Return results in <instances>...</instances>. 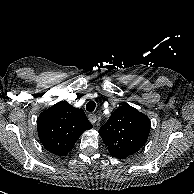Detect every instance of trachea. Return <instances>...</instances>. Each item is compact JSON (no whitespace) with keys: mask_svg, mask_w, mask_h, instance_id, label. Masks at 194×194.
Segmentation results:
<instances>
[{"mask_svg":"<svg viewBox=\"0 0 194 194\" xmlns=\"http://www.w3.org/2000/svg\"><path fill=\"white\" fill-rule=\"evenodd\" d=\"M95 107H96V103L93 100H91L87 103L86 110L89 112H92L95 110Z\"/></svg>","mask_w":194,"mask_h":194,"instance_id":"obj_1","label":"trachea"}]
</instances>
